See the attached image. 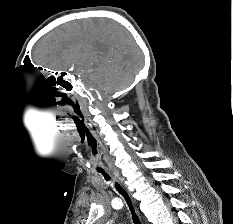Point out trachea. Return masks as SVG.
Here are the masks:
<instances>
[{
  "mask_svg": "<svg viewBox=\"0 0 233 224\" xmlns=\"http://www.w3.org/2000/svg\"><path fill=\"white\" fill-rule=\"evenodd\" d=\"M101 174L104 176V178L107 181L110 179L109 175L106 172H101ZM115 187H116L117 191L125 198L128 206H129V209L131 211L134 224H141V221H140L139 217L137 216V214L135 212L133 203H132L131 198L128 195V193L117 183H116Z\"/></svg>",
  "mask_w": 233,
  "mask_h": 224,
  "instance_id": "1",
  "label": "trachea"
}]
</instances>
